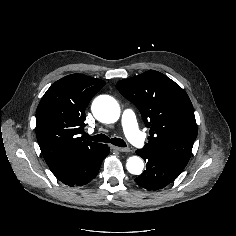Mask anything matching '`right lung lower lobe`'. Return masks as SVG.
<instances>
[{
    "instance_id": "obj_1",
    "label": "right lung lower lobe",
    "mask_w": 236,
    "mask_h": 236,
    "mask_svg": "<svg viewBox=\"0 0 236 236\" xmlns=\"http://www.w3.org/2000/svg\"><path fill=\"white\" fill-rule=\"evenodd\" d=\"M109 151L105 144L75 151L64 160L58 171L52 172L58 180L70 187L85 185L98 174L101 163Z\"/></svg>"
}]
</instances>
